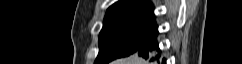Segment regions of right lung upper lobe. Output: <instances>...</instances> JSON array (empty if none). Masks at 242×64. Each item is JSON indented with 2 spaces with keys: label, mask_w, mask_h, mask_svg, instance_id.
<instances>
[{
  "label": "right lung upper lobe",
  "mask_w": 242,
  "mask_h": 64,
  "mask_svg": "<svg viewBox=\"0 0 242 64\" xmlns=\"http://www.w3.org/2000/svg\"><path fill=\"white\" fill-rule=\"evenodd\" d=\"M150 0H119L111 5L105 17L123 13H153Z\"/></svg>",
  "instance_id": "cb5924a9"
}]
</instances>
